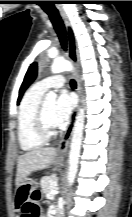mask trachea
Here are the masks:
<instances>
[{
  "label": "trachea",
  "instance_id": "1",
  "mask_svg": "<svg viewBox=\"0 0 132 217\" xmlns=\"http://www.w3.org/2000/svg\"><path fill=\"white\" fill-rule=\"evenodd\" d=\"M53 26L54 29L59 37L60 43L62 45V48L67 51V34H66V29L65 25L63 23V20L61 16L58 13H47ZM71 87L75 88L76 87V82L75 80H71L70 82Z\"/></svg>",
  "mask_w": 132,
  "mask_h": 217
}]
</instances>
